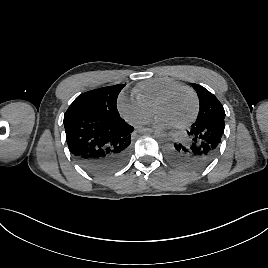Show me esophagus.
<instances>
[{
  "instance_id": "1",
  "label": "esophagus",
  "mask_w": 268,
  "mask_h": 268,
  "mask_svg": "<svg viewBox=\"0 0 268 268\" xmlns=\"http://www.w3.org/2000/svg\"><path fill=\"white\" fill-rule=\"evenodd\" d=\"M137 132L140 133V134H143V133H153L154 130L153 129H150V128H137Z\"/></svg>"
}]
</instances>
